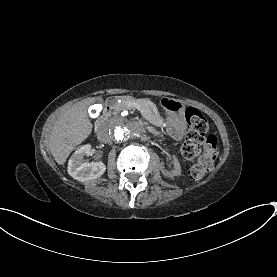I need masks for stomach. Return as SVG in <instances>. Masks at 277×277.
Returning a JSON list of instances; mask_svg holds the SVG:
<instances>
[{
	"label": "stomach",
	"mask_w": 277,
	"mask_h": 277,
	"mask_svg": "<svg viewBox=\"0 0 277 277\" xmlns=\"http://www.w3.org/2000/svg\"><path fill=\"white\" fill-rule=\"evenodd\" d=\"M166 112L167 126L170 131L180 132L186 127L185 110L186 107L181 100L164 97L160 102Z\"/></svg>",
	"instance_id": "stomach-1"
}]
</instances>
